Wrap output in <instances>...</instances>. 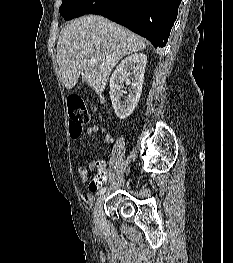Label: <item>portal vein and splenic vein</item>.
I'll return each mask as SVG.
<instances>
[{
  "label": "portal vein and splenic vein",
  "instance_id": "1",
  "mask_svg": "<svg viewBox=\"0 0 233 263\" xmlns=\"http://www.w3.org/2000/svg\"><path fill=\"white\" fill-rule=\"evenodd\" d=\"M88 61H89V64H90L91 66L97 65V60L94 59V58H91V59H89Z\"/></svg>",
  "mask_w": 233,
  "mask_h": 263
}]
</instances>
